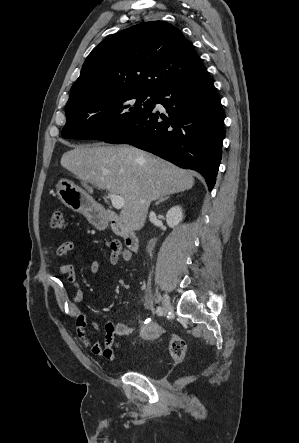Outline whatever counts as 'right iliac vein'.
Returning a JSON list of instances; mask_svg holds the SVG:
<instances>
[{"mask_svg": "<svg viewBox=\"0 0 299 443\" xmlns=\"http://www.w3.org/2000/svg\"><path fill=\"white\" fill-rule=\"evenodd\" d=\"M162 309H163L164 313H167V312L171 311V309H172L171 301H170V298L167 294H164L162 297Z\"/></svg>", "mask_w": 299, "mask_h": 443, "instance_id": "right-iliac-vein-1", "label": "right iliac vein"}]
</instances>
